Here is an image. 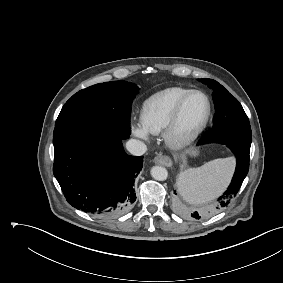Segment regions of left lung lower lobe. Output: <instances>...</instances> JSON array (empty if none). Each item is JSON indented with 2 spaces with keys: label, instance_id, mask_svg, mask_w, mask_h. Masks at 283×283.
Masks as SVG:
<instances>
[{
  "label": "left lung lower lobe",
  "instance_id": "0a47b994",
  "mask_svg": "<svg viewBox=\"0 0 283 283\" xmlns=\"http://www.w3.org/2000/svg\"><path fill=\"white\" fill-rule=\"evenodd\" d=\"M205 143H210V141H208V139L204 135L199 140L198 145ZM225 145L233 152V154L236 157V161H237L236 169L228 189L225 191V193L222 196L218 198L217 203L210 209L208 213H215L221 210L229 203V200L233 196H236L249 170L250 147H246L238 144H225ZM191 216L195 219L201 218V214H199L198 212L192 213Z\"/></svg>",
  "mask_w": 283,
  "mask_h": 283
}]
</instances>
